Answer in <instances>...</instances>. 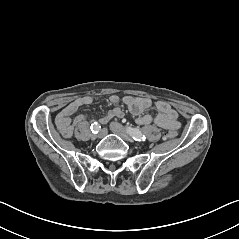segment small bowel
I'll list each match as a JSON object with an SVG mask.
<instances>
[{
	"mask_svg": "<svg viewBox=\"0 0 239 239\" xmlns=\"http://www.w3.org/2000/svg\"><path fill=\"white\" fill-rule=\"evenodd\" d=\"M109 101L116 105L120 98L118 95H111ZM94 102L91 96H84L77 98L68 105H66L56 117V125L60 133L69 138L73 135L74 124L82 122L86 119V115L80 114L71 120L70 116L74 114L79 107L89 105ZM122 102L128 107L129 111L136 117V122L139 125H148L154 123L164 129H178L180 123L178 121V113L165 101L153 102L149 98L124 96ZM155 107L157 114H143L145 110L150 107ZM115 117H123V111L119 107H114L107 112V114L100 119V123L107 124Z\"/></svg>",
	"mask_w": 239,
	"mask_h": 239,
	"instance_id": "c3829d8e",
	"label": "small bowel"
}]
</instances>
